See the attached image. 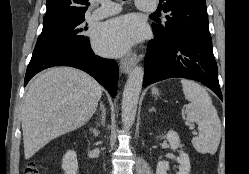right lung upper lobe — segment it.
Returning <instances> with one entry per match:
<instances>
[{"instance_id":"cb5924a9","label":"right lung upper lobe","mask_w":249,"mask_h":174,"mask_svg":"<svg viewBox=\"0 0 249 174\" xmlns=\"http://www.w3.org/2000/svg\"><path fill=\"white\" fill-rule=\"evenodd\" d=\"M89 4L88 0H47L43 26L84 17Z\"/></svg>"}]
</instances>
